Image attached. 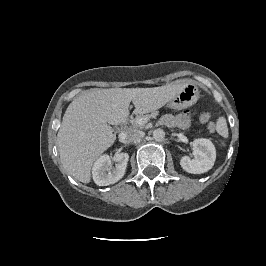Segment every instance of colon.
I'll list each match as a JSON object with an SVG mask.
<instances>
[{
    "mask_svg": "<svg viewBox=\"0 0 266 266\" xmlns=\"http://www.w3.org/2000/svg\"><path fill=\"white\" fill-rule=\"evenodd\" d=\"M200 120H201L202 122H204V123H208V122L210 121V114L205 113V112L202 113V114L200 115ZM208 130L211 131V132H213V131L215 130V124L212 123V122H210V123L208 124Z\"/></svg>",
    "mask_w": 266,
    "mask_h": 266,
    "instance_id": "obj_1",
    "label": "colon"
}]
</instances>
